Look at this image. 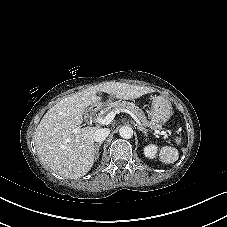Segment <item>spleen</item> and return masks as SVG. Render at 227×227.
Segmentation results:
<instances>
[{"label": "spleen", "mask_w": 227, "mask_h": 227, "mask_svg": "<svg viewBox=\"0 0 227 227\" xmlns=\"http://www.w3.org/2000/svg\"><path fill=\"white\" fill-rule=\"evenodd\" d=\"M175 142L177 144H180L181 143V138L180 137H176L175 138ZM159 155H160L161 161L163 163H165V164L174 163L179 158L178 150L176 148L170 147V146L162 147Z\"/></svg>", "instance_id": "1"}]
</instances>
